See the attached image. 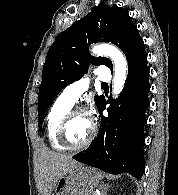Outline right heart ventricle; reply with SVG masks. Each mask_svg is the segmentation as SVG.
I'll list each match as a JSON object with an SVG mask.
<instances>
[{"instance_id":"e07e8e85","label":"right heart ventricle","mask_w":178,"mask_h":195,"mask_svg":"<svg viewBox=\"0 0 178 195\" xmlns=\"http://www.w3.org/2000/svg\"><path fill=\"white\" fill-rule=\"evenodd\" d=\"M72 107L73 104L64 100L60 95L51 106L46 117V134L49 144L54 150L59 152L64 151L66 148L59 143L57 131L64 116Z\"/></svg>"}]
</instances>
